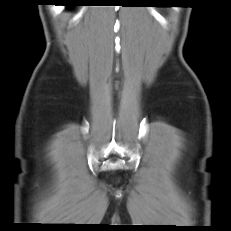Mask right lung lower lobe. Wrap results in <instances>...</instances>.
<instances>
[{
	"instance_id": "98d812e1",
	"label": "right lung lower lobe",
	"mask_w": 231,
	"mask_h": 231,
	"mask_svg": "<svg viewBox=\"0 0 231 231\" xmlns=\"http://www.w3.org/2000/svg\"><path fill=\"white\" fill-rule=\"evenodd\" d=\"M64 2V5L66 6H75V5H80L77 3V0H62Z\"/></svg>"
}]
</instances>
